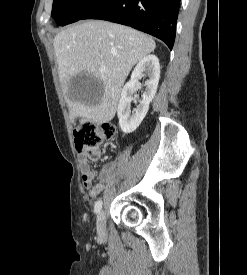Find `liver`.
<instances>
[{
    "label": "liver",
    "instance_id": "1",
    "mask_svg": "<svg viewBox=\"0 0 247 275\" xmlns=\"http://www.w3.org/2000/svg\"><path fill=\"white\" fill-rule=\"evenodd\" d=\"M53 45L70 120L81 117L93 124L114 118L128 74L156 47L155 41L144 33L101 20L86 21L59 32ZM103 66L107 72L101 71ZM83 71L100 80V95L70 90V79Z\"/></svg>",
    "mask_w": 247,
    "mask_h": 275
}]
</instances>
